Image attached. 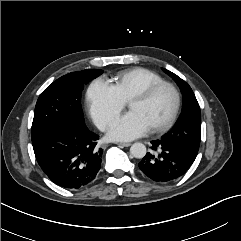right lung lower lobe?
I'll return each mask as SVG.
<instances>
[{
  "mask_svg": "<svg viewBox=\"0 0 241 241\" xmlns=\"http://www.w3.org/2000/svg\"><path fill=\"white\" fill-rule=\"evenodd\" d=\"M99 136L85 124L64 123L32 141L37 162L55 184L79 189L92 182L100 167L103 150Z\"/></svg>",
  "mask_w": 241,
  "mask_h": 241,
  "instance_id": "obj_1",
  "label": "right lung lower lobe"
}]
</instances>
